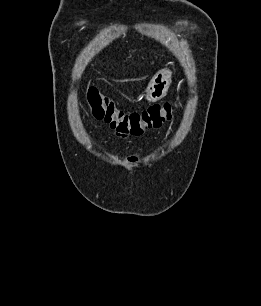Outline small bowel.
Wrapping results in <instances>:
<instances>
[{
  "label": "small bowel",
  "mask_w": 261,
  "mask_h": 306,
  "mask_svg": "<svg viewBox=\"0 0 261 306\" xmlns=\"http://www.w3.org/2000/svg\"><path fill=\"white\" fill-rule=\"evenodd\" d=\"M128 161L131 162V163H135V162L138 161V158H137L136 156H130V157L128 158Z\"/></svg>",
  "instance_id": "small-bowel-1"
}]
</instances>
